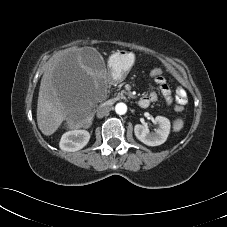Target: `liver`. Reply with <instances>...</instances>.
<instances>
[{
	"instance_id": "liver-1",
	"label": "liver",
	"mask_w": 227,
	"mask_h": 227,
	"mask_svg": "<svg viewBox=\"0 0 227 227\" xmlns=\"http://www.w3.org/2000/svg\"><path fill=\"white\" fill-rule=\"evenodd\" d=\"M82 48L72 47L55 54L45 65L41 79L37 124L40 131L52 135L71 113L84 83L97 74L82 62Z\"/></svg>"
}]
</instances>
